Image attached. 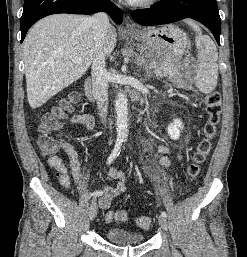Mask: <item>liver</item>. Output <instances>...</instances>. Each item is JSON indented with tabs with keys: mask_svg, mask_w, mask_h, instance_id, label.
Wrapping results in <instances>:
<instances>
[{
	"mask_svg": "<svg viewBox=\"0 0 247 257\" xmlns=\"http://www.w3.org/2000/svg\"><path fill=\"white\" fill-rule=\"evenodd\" d=\"M116 42V30L109 25L105 56L112 53ZM23 55L28 102L36 109L81 78L92 64L96 48L90 17L54 14L41 19L28 32Z\"/></svg>",
	"mask_w": 247,
	"mask_h": 257,
	"instance_id": "liver-1",
	"label": "liver"
}]
</instances>
